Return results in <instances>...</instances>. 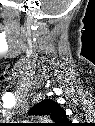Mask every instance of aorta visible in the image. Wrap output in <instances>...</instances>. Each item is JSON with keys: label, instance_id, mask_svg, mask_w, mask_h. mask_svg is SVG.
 <instances>
[{"label": "aorta", "instance_id": "aorta-1", "mask_svg": "<svg viewBox=\"0 0 95 126\" xmlns=\"http://www.w3.org/2000/svg\"><path fill=\"white\" fill-rule=\"evenodd\" d=\"M40 119H41V120H43V121H47V119H46V118H42V117H41Z\"/></svg>", "mask_w": 95, "mask_h": 126}]
</instances>
